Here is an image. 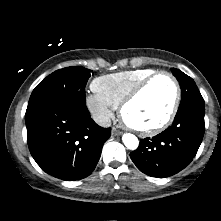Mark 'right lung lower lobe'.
Masks as SVG:
<instances>
[{
	"instance_id": "right-lung-lower-lobe-1",
	"label": "right lung lower lobe",
	"mask_w": 221,
	"mask_h": 221,
	"mask_svg": "<svg viewBox=\"0 0 221 221\" xmlns=\"http://www.w3.org/2000/svg\"><path fill=\"white\" fill-rule=\"evenodd\" d=\"M27 141L36 163L49 175L75 181L99 161L110 128L97 125L84 104L54 102L27 110Z\"/></svg>"
}]
</instances>
